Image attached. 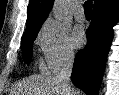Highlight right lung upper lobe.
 <instances>
[{
  "instance_id": "obj_1",
  "label": "right lung upper lobe",
  "mask_w": 119,
  "mask_h": 95,
  "mask_svg": "<svg viewBox=\"0 0 119 95\" xmlns=\"http://www.w3.org/2000/svg\"><path fill=\"white\" fill-rule=\"evenodd\" d=\"M117 0H94V12L101 10ZM54 0H30L28 5V18L26 21V32L40 28L46 20Z\"/></svg>"
}]
</instances>
